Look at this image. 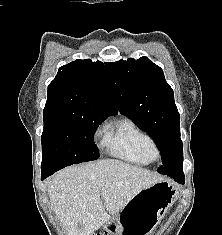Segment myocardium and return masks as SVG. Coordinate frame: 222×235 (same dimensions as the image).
<instances>
[{
  "mask_svg": "<svg viewBox=\"0 0 222 235\" xmlns=\"http://www.w3.org/2000/svg\"><path fill=\"white\" fill-rule=\"evenodd\" d=\"M160 157H161V152L159 148L156 146V144L149 147L146 150V158L150 163L158 161Z\"/></svg>",
  "mask_w": 222,
  "mask_h": 235,
  "instance_id": "obj_1",
  "label": "myocardium"
}]
</instances>
